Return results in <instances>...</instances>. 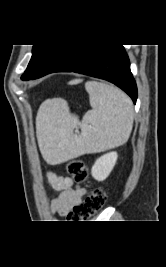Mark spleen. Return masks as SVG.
<instances>
[{
	"instance_id": "obj_1",
	"label": "spleen",
	"mask_w": 166,
	"mask_h": 267,
	"mask_svg": "<svg viewBox=\"0 0 166 267\" xmlns=\"http://www.w3.org/2000/svg\"><path fill=\"white\" fill-rule=\"evenodd\" d=\"M89 110L82 122L54 102L42 107L37 116V139L49 163H61L83 154L102 152L127 142L133 127L130 98L118 88L89 81ZM81 126V133L74 129Z\"/></svg>"
}]
</instances>
